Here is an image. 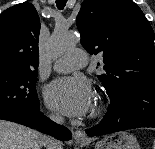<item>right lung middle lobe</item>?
<instances>
[{"mask_svg":"<svg viewBox=\"0 0 155 149\" xmlns=\"http://www.w3.org/2000/svg\"><path fill=\"white\" fill-rule=\"evenodd\" d=\"M37 71L0 69V114L28 118L39 108Z\"/></svg>","mask_w":155,"mask_h":149,"instance_id":"right-lung-middle-lobe-1","label":"right lung middle lobe"}]
</instances>
